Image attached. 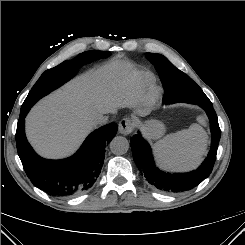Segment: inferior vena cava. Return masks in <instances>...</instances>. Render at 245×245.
I'll return each instance as SVG.
<instances>
[{"mask_svg": "<svg viewBox=\"0 0 245 245\" xmlns=\"http://www.w3.org/2000/svg\"><path fill=\"white\" fill-rule=\"evenodd\" d=\"M108 119L105 117V116H98L96 119H95V124H105L107 123Z\"/></svg>", "mask_w": 245, "mask_h": 245, "instance_id": "inferior-vena-cava-1", "label": "inferior vena cava"}]
</instances>
